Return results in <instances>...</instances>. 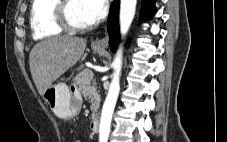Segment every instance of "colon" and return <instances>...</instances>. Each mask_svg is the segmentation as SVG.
<instances>
[{"label": "colon", "instance_id": "colon-1", "mask_svg": "<svg viewBox=\"0 0 227 142\" xmlns=\"http://www.w3.org/2000/svg\"><path fill=\"white\" fill-rule=\"evenodd\" d=\"M71 142H83V140L78 138V137H76Z\"/></svg>", "mask_w": 227, "mask_h": 142}]
</instances>
